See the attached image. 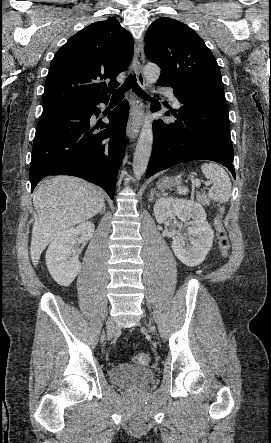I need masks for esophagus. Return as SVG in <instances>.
<instances>
[{
  "instance_id": "1",
  "label": "esophagus",
  "mask_w": 271,
  "mask_h": 443,
  "mask_svg": "<svg viewBox=\"0 0 271 443\" xmlns=\"http://www.w3.org/2000/svg\"><path fill=\"white\" fill-rule=\"evenodd\" d=\"M145 63L144 43L143 38H140L135 43L133 65L137 77V82L141 87H145V79L143 76V66ZM144 113V103L138 98L134 97L131 105L130 117L126 127V135L129 140H135L138 136L142 117Z\"/></svg>"
}]
</instances>
